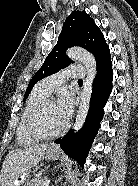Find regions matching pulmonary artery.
Wrapping results in <instances>:
<instances>
[{
	"label": "pulmonary artery",
	"mask_w": 138,
	"mask_h": 186,
	"mask_svg": "<svg viewBox=\"0 0 138 186\" xmlns=\"http://www.w3.org/2000/svg\"><path fill=\"white\" fill-rule=\"evenodd\" d=\"M86 75L84 66H71L43 79L40 83L43 89L50 93L70 78H83Z\"/></svg>",
	"instance_id": "1"
}]
</instances>
